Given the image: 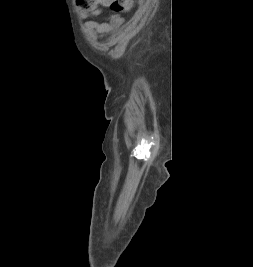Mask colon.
I'll return each instance as SVG.
<instances>
[{"instance_id":"5ec220e1","label":"colon","mask_w":253,"mask_h":267,"mask_svg":"<svg viewBox=\"0 0 253 267\" xmlns=\"http://www.w3.org/2000/svg\"><path fill=\"white\" fill-rule=\"evenodd\" d=\"M132 4L133 0H75V5L82 11H91L103 6L119 12L130 9Z\"/></svg>"}]
</instances>
